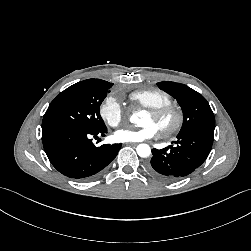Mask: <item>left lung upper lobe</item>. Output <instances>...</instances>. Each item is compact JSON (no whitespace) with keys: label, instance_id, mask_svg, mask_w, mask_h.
<instances>
[{"label":"left lung upper lobe","instance_id":"left-lung-upper-lobe-1","mask_svg":"<svg viewBox=\"0 0 251 251\" xmlns=\"http://www.w3.org/2000/svg\"><path fill=\"white\" fill-rule=\"evenodd\" d=\"M158 87L175 97L183 109V125L178 135L190 131L214 132L215 117L206 99L190 87L163 81Z\"/></svg>","mask_w":251,"mask_h":251}]
</instances>
